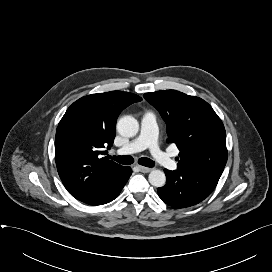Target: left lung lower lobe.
I'll list each match as a JSON object with an SVG mask.
<instances>
[{
  "label": "left lung lower lobe",
  "mask_w": 272,
  "mask_h": 272,
  "mask_svg": "<svg viewBox=\"0 0 272 272\" xmlns=\"http://www.w3.org/2000/svg\"><path fill=\"white\" fill-rule=\"evenodd\" d=\"M166 185L158 188V195L175 208L196 205L207 198L216 187L221 174L195 169H165Z\"/></svg>",
  "instance_id": "obj_1"
}]
</instances>
